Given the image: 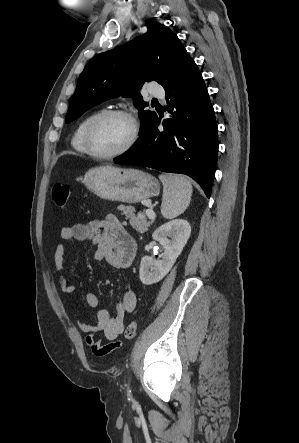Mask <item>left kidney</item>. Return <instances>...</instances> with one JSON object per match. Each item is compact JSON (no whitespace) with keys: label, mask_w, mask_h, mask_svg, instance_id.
I'll use <instances>...</instances> for the list:
<instances>
[{"label":"left kidney","mask_w":299,"mask_h":443,"mask_svg":"<svg viewBox=\"0 0 299 443\" xmlns=\"http://www.w3.org/2000/svg\"><path fill=\"white\" fill-rule=\"evenodd\" d=\"M191 234L188 221L175 219L157 228L152 238L164 246L161 260L150 256L141 259L139 276L145 285L159 282L170 271L176 259L181 254Z\"/></svg>","instance_id":"obj_1"}]
</instances>
